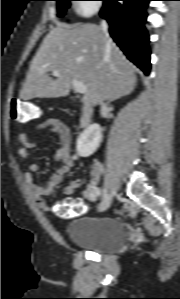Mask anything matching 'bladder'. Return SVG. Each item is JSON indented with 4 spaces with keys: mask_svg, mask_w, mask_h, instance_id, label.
Returning a JSON list of instances; mask_svg holds the SVG:
<instances>
[{
    "mask_svg": "<svg viewBox=\"0 0 180 299\" xmlns=\"http://www.w3.org/2000/svg\"><path fill=\"white\" fill-rule=\"evenodd\" d=\"M66 233L73 244L100 253L116 252L127 237L124 224L113 217L78 218L68 224Z\"/></svg>",
    "mask_w": 180,
    "mask_h": 299,
    "instance_id": "1",
    "label": "bladder"
}]
</instances>
